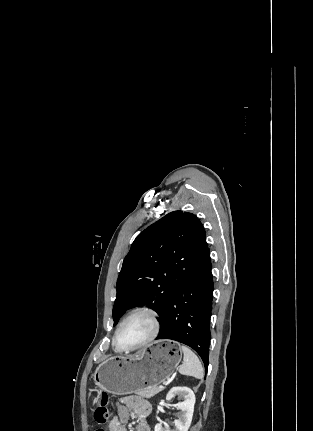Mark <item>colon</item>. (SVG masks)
Here are the masks:
<instances>
[{"instance_id":"obj_1","label":"colon","mask_w":313,"mask_h":431,"mask_svg":"<svg viewBox=\"0 0 313 431\" xmlns=\"http://www.w3.org/2000/svg\"><path fill=\"white\" fill-rule=\"evenodd\" d=\"M107 404H108V396L106 393L103 392L100 395L99 405L97 406L94 412V419L100 425H103L108 420L109 411L107 408ZM94 431H105V430L103 428H98Z\"/></svg>"}]
</instances>
